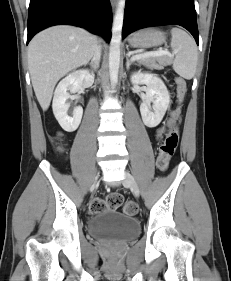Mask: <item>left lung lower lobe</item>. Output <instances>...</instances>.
<instances>
[{"label":"left lung lower lobe","mask_w":231,"mask_h":281,"mask_svg":"<svg viewBox=\"0 0 231 281\" xmlns=\"http://www.w3.org/2000/svg\"><path fill=\"white\" fill-rule=\"evenodd\" d=\"M169 24L186 28L198 44L194 0H126L122 36L141 28Z\"/></svg>","instance_id":"1"}]
</instances>
